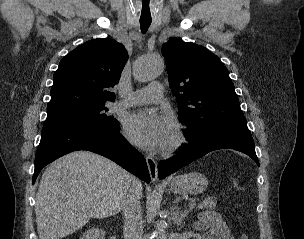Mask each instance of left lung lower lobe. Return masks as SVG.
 Segmentation results:
<instances>
[{"label": "left lung lower lobe", "instance_id": "1", "mask_svg": "<svg viewBox=\"0 0 304 239\" xmlns=\"http://www.w3.org/2000/svg\"><path fill=\"white\" fill-rule=\"evenodd\" d=\"M226 148L247 154L259 166L251 133L229 130L212 134L195 142L190 141L189 146L181 150L176 156L160 161L158 165V178L164 179L166 176L205 154Z\"/></svg>", "mask_w": 304, "mask_h": 239}]
</instances>
